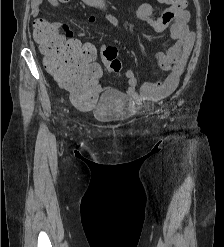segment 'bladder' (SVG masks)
Masks as SVG:
<instances>
[{
    "label": "bladder",
    "instance_id": "bladder-1",
    "mask_svg": "<svg viewBox=\"0 0 224 247\" xmlns=\"http://www.w3.org/2000/svg\"><path fill=\"white\" fill-rule=\"evenodd\" d=\"M93 118L101 123H116L125 118L124 103L120 93L114 89L105 90L92 108Z\"/></svg>",
    "mask_w": 224,
    "mask_h": 247
}]
</instances>
